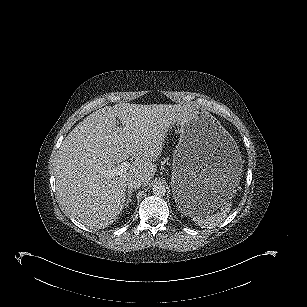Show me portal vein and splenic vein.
I'll return each mask as SVG.
<instances>
[{
    "instance_id": "obj_1",
    "label": "portal vein and splenic vein",
    "mask_w": 307,
    "mask_h": 307,
    "mask_svg": "<svg viewBox=\"0 0 307 307\" xmlns=\"http://www.w3.org/2000/svg\"><path fill=\"white\" fill-rule=\"evenodd\" d=\"M129 163L127 161L121 163L119 166L111 169V170H107L105 171L106 175L108 176H115L120 174L121 172H123L124 170H126V168L128 167Z\"/></svg>"
}]
</instances>
